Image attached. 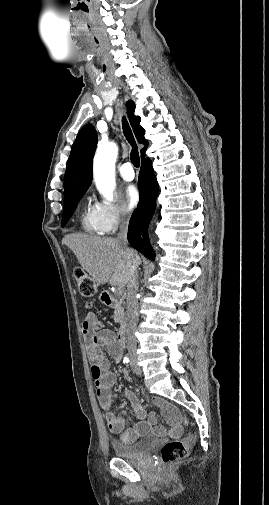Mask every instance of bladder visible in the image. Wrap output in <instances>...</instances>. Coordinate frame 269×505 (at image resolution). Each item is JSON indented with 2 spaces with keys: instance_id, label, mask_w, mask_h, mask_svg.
<instances>
[{
  "instance_id": "obj_1",
  "label": "bladder",
  "mask_w": 269,
  "mask_h": 505,
  "mask_svg": "<svg viewBox=\"0 0 269 505\" xmlns=\"http://www.w3.org/2000/svg\"><path fill=\"white\" fill-rule=\"evenodd\" d=\"M156 439L153 436H146L133 443L121 441H112V449L119 458L137 460L143 457L155 444Z\"/></svg>"
}]
</instances>
